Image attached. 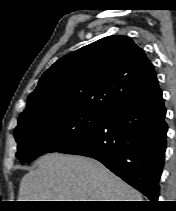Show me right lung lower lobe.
<instances>
[{"label": "right lung lower lobe", "mask_w": 176, "mask_h": 211, "mask_svg": "<svg viewBox=\"0 0 176 211\" xmlns=\"http://www.w3.org/2000/svg\"><path fill=\"white\" fill-rule=\"evenodd\" d=\"M162 91L110 112L103 123L61 153L97 159L151 201L159 196L167 124Z\"/></svg>", "instance_id": "right-lung-lower-lobe-1"}]
</instances>
